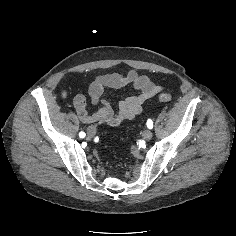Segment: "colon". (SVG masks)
Wrapping results in <instances>:
<instances>
[{"label":"colon","mask_w":236,"mask_h":236,"mask_svg":"<svg viewBox=\"0 0 236 236\" xmlns=\"http://www.w3.org/2000/svg\"><path fill=\"white\" fill-rule=\"evenodd\" d=\"M172 98H173L172 95L169 93H160L158 95V101L162 103L170 102Z\"/></svg>","instance_id":"5ec220e1"}]
</instances>
